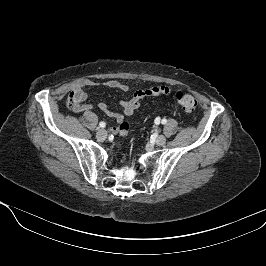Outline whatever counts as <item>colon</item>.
Wrapping results in <instances>:
<instances>
[{"label":"colon","mask_w":266,"mask_h":266,"mask_svg":"<svg viewBox=\"0 0 266 266\" xmlns=\"http://www.w3.org/2000/svg\"><path fill=\"white\" fill-rule=\"evenodd\" d=\"M175 98L180 107L187 112H192L197 107L196 99L192 95L187 94L183 91L176 92ZM67 103L69 108L72 109L75 104L74 94L71 93L69 95ZM118 128H119V133L121 135H126L129 131L130 125L128 122H122Z\"/></svg>","instance_id":"1"}]
</instances>
